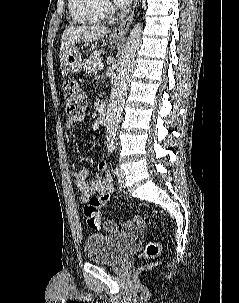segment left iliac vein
I'll use <instances>...</instances> for the list:
<instances>
[{"mask_svg": "<svg viewBox=\"0 0 239 303\" xmlns=\"http://www.w3.org/2000/svg\"><path fill=\"white\" fill-rule=\"evenodd\" d=\"M117 177H118V182H119L120 186L125 188L126 187V178H125V173L122 169H118Z\"/></svg>", "mask_w": 239, "mask_h": 303, "instance_id": "1", "label": "left iliac vein"}]
</instances>
